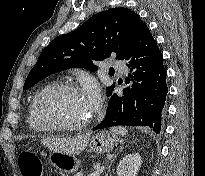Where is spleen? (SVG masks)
I'll use <instances>...</instances> for the list:
<instances>
[{
  "instance_id": "3e777b00",
  "label": "spleen",
  "mask_w": 205,
  "mask_h": 176,
  "mask_svg": "<svg viewBox=\"0 0 205 176\" xmlns=\"http://www.w3.org/2000/svg\"><path fill=\"white\" fill-rule=\"evenodd\" d=\"M112 131L119 135H125L127 133V129L125 127H114Z\"/></svg>"
}]
</instances>
